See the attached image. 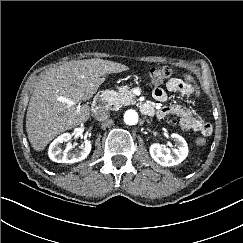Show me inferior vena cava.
<instances>
[{
    "label": "inferior vena cava",
    "instance_id": "602c4592",
    "mask_svg": "<svg viewBox=\"0 0 243 243\" xmlns=\"http://www.w3.org/2000/svg\"><path fill=\"white\" fill-rule=\"evenodd\" d=\"M110 113L107 109H99L94 113V117L97 121H105L109 118Z\"/></svg>",
    "mask_w": 243,
    "mask_h": 243
}]
</instances>
